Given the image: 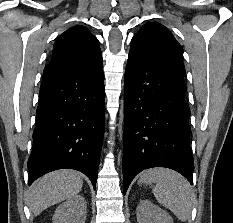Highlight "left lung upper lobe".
<instances>
[{"label": "left lung upper lobe", "instance_id": "5c2ea615", "mask_svg": "<svg viewBox=\"0 0 233 223\" xmlns=\"http://www.w3.org/2000/svg\"><path fill=\"white\" fill-rule=\"evenodd\" d=\"M131 46L138 47L159 64L185 76L183 49L165 26L159 23L143 25L132 38Z\"/></svg>", "mask_w": 233, "mask_h": 223}]
</instances>
